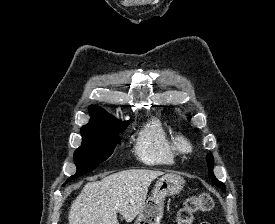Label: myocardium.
Returning a JSON list of instances; mask_svg holds the SVG:
<instances>
[{
  "instance_id": "1",
  "label": "myocardium",
  "mask_w": 275,
  "mask_h": 224,
  "mask_svg": "<svg viewBox=\"0 0 275 224\" xmlns=\"http://www.w3.org/2000/svg\"><path fill=\"white\" fill-rule=\"evenodd\" d=\"M174 144L176 149L181 153H189L192 151V143L190 140L182 135H179L174 138Z\"/></svg>"
}]
</instances>
